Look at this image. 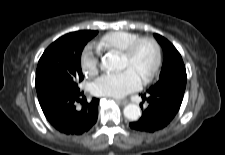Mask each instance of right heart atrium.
Segmentation results:
<instances>
[{
	"mask_svg": "<svg viewBox=\"0 0 225 155\" xmlns=\"http://www.w3.org/2000/svg\"><path fill=\"white\" fill-rule=\"evenodd\" d=\"M81 68L85 75L93 76L99 70V58L92 46H87L81 55Z\"/></svg>",
	"mask_w": 225,
	"mask_h": 155,
	"instance_id": "obj_1",
	"label": "right heart atrium"
}]
</instances>
